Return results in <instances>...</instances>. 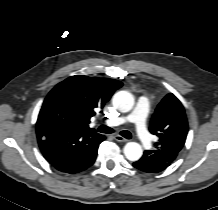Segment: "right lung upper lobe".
Instances as JSON below:
<instances>
[{
  "label": "right lung upper lobe",
  "instance_id": "cb5924a9",
  "mask_svg": "<svg viewBox=\"0 0 218 210\" xmlns=\"http://www.w3.org/2000/svg\"><path fill=\"white\" fill-rule=\"evenodd\" d=\"M121 86L122 83L114 79L76 75L57 84L47 97L64 103L72 113L75 129L87 131L93 130L89 128L90 118Z\"/></svg>",
  "mask_w": 218,
  "mask_h": 210
}]
</instances>
